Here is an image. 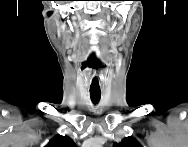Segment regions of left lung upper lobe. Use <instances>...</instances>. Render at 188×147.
<instances>
[{
  "instance_id": "left-lung-upper-lobe-1",
  "label": "left lung upper lobe",
  "mask_w": 188,
  "mask_h": 147,
  "mask_svg": "<svg viewBox=\"0 0 188 147\" xmlns=\"http://www.w3.org/2000/svg\"><path fill=\"white\" fill-rule=\"evenodd\" d=\"M114 147H141L136 139L132 137H127L120 143H114Z\"/></svg>"
}]
</instances>
